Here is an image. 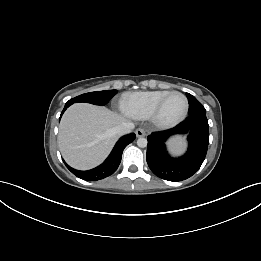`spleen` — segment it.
Wrapping results in <instances>:
<instances>
[{
	"instance_id": "3e777b00",
	"label": "spleen",
	"mask_w": 261,
	"mask_h": 261,
	"mask_svg": "<svg viewBox=\"0 0 261 261\" xmlns=\"http://www.w3.org/2000/svg\"><path fill=\"white\" fill-rule=\"evenodd\" d=\"M172 146L176 149L179 150L182 147V140H175L172 142Z\"/></svg>"
}]
</instances>
